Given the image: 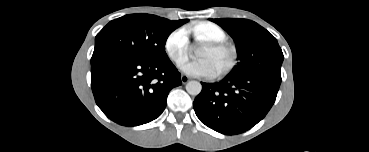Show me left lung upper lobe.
I'll return each mask as SVG.
<instances>
[{"label": "left lung upper lobe", "instance_id": "1", "mask_svg": "<svg viewBox=\"0 0 369 152\" xmlns=\"http://www.w3.org/2000/svg\"><path fill=\"white\" fill-rule=\"evenodd\" d=\"M234 40L238 63L232 75L268 74L281 77L283 53L274 36L257 23L246 19H210Z\"/></svg>", "mask_w": 369, "mask_h": 152}]
</instances>
